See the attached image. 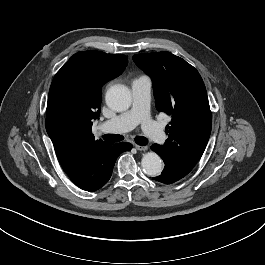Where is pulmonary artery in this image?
I'll list each match as a JSON object with an SVG mask.
<instances>
[{"label":"pulmonary artery","mask_w":265,"mask_h":265,"mask_svg":"<svg viewBox=\"0 0 265 265\" xmlns=\"http://www.w3.org/2000/svg\"><path fill=\"white\" fill-rule=\"evenodd\" d=\"M132 106L117 117L101 123L102 130L122 133L132 130L138 124L153 141L163 144L166 140L164 130L153 121L149 114L151 80L142 76L132 81Z\"/></svg>","instance_id":"obj_1"}]
</instances>
